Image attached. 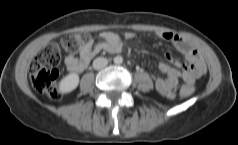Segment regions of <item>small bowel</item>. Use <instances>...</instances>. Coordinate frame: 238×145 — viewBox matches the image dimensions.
<instances>
[{
  "instance_id": "c3829d8e",
  "label": "small bowel",
  "mask_w": 238,
  "mask_h": 145,
  "mask_svg": "<svg viewBox=\"0 0 238 145\" xmlns=\"http://www.w3.org/2000/svg\"><path fill=\"white\" fill-rule=\"evenodd\" d=\"M155 34L162 40L170 41L184 55L188 62L187 65L174 58L171 54H166V59L169 62L184 69L182 73L165 62L158 64V69L164 76H154L155 87L164 97L174 98L180 77L183 78L186 84L193 86L195 80L205 73L206 65L197 49L184 37L170 31H157ZM134 37L135 34L129 31L121 34L106 31L101 34V41L97 43H94V41L89 38L82 46L79 57L68 55L65 58L66 67L72 73H81L88 67L91 60L99 52L119 53L123 49V40H130Z\"/></svg>"
}]
</instances>
